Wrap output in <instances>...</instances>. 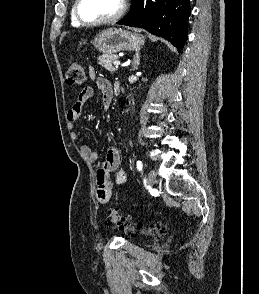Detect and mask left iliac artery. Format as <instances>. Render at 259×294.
<instances>
[{
	"mask_svg": "<svg viewBox=\"0 0 259 294\" xmlns=\"http://www.w3.org/2000/svg\"><path fill=\"white\" fill-rule=\"evenodd\" d=\"M142 168H143L142 162L141 161H137V169L139 171H142Z\"/></svg>",
	"mask_w": 259,
	"mask_h": 294,
	"instance_id": "1",
	"label": "left iliac artery"
}]
</instances>
